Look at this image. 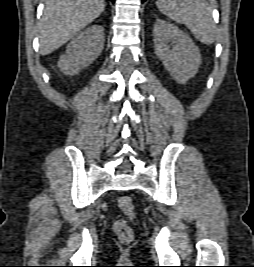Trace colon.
Instances as JSON below:
<instances>
[{
  "label": "colon",
  "mask_w": 254,
  "mask_h": 267,
  "mask_svg": "<svg viewBox=\"0 0 254 267\" xmlns=\"http://www.w3.org/2000/svg\"><path fill=\"white\" fill-rule=\"evenodd\" d=\"M118 206L122 212L129 218L134 217L133 201L129 196H121L118 199ZM114 231L117 234L120 241L128 243L133 239L134 233L129 225L128 220L119 219L114 223Z\"/></svg>",
  "instance_id": "colon-1"
}]
</instances>
